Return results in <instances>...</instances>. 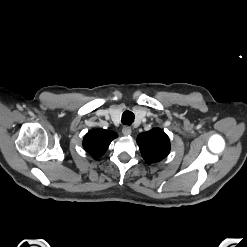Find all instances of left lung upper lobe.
Masks as SVG:
<instances>
[{"label":"left lung upper lobe","mask_w":247,"mask_h":247,"mask_svg":"<svg viewBox=\"0 0 247 247\" xmlns=\"http://www.w3.org/2000/svg\"><path fill=\"white\" fill-rule=\"evenodd\" d=\"M137 143L143 158L150 163L163 160L170 152L169 138L159 128L140 134Z\"/></svg>","instance_id":"1"}]
</instances>
